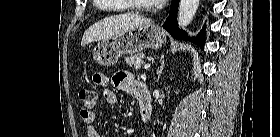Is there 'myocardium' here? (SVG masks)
<instances>
[{"mask_svg":"<svg viewBox=\"0 0 280 137\" xmlns=\"http://www.w3.org/2000/svg\"><path fill=\"white\" fill-rule=\"evenodd\" d=\"M131 2V7L138 11L153 12L157 9L156 5H142L137 3V0H128Z\"/></svg>","mask_w":280,"mask_h":137,"instance_id":"myocardium-1","label":"myocardium"}]
</instances>
